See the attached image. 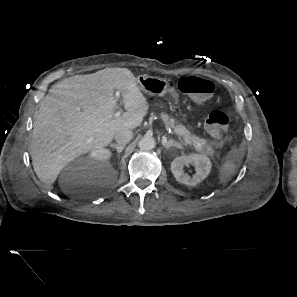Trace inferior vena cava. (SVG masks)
<instances>
[{
    "label": "inferior vena cava",
    "mask_w": 297,
    "mask_h": 297,
    "mask_svg": "<svg viewBox=\"0 0 297 297\" xmlns=\"http://www.w3.org/2000/svg\"><path fill=\"white\" fill-rule=\"evenodd\" d=\"M133 138V132L131 129H124L115 134V140L119 145H125L129 143Z\"/></svg>",
    "instance_id": "obj_1"
}]
</instances>
